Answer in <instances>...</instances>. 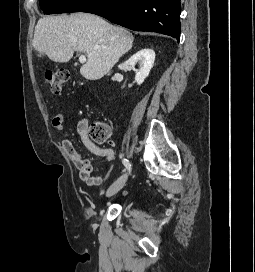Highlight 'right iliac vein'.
<instances>
[{
	"label": "right iliac vein",
	"mask_w": 255,
	"mask_h": 272,
	"mask_svg": "<svg viewBox=\"0 0 255 272\" xmlns=\"http://www.w3.org/2000/svg\"><path fill=\"white\" fill-rule=\"evenodd\" d=\"M127 180V175H122L119 179H117L107 190L106 196L110 197L115 195L124 185Z\"/></svg>",
	"instance_id": "63e3f726"
}]
</instances>
